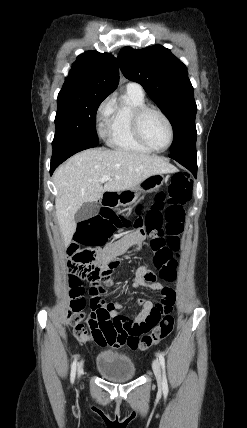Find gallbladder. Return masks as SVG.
Here are the masks:
<instances>
[{
    "label": "gallbladder",
    "instance_id": "bac80fb5",
    "mask_svg": "<svg viewBox=\"0 0 247 428\" xmlns=\"http://www.w3.org/2000/svg\"><path fill=\"white\" fill-rule=\"evenodd\" d=\"M99 212L97 202H86L75 214V221L82 222L96 216Z\"/></svg>",
    "mask_w": 247,
    "mask_h": 428
}]
</instances>
